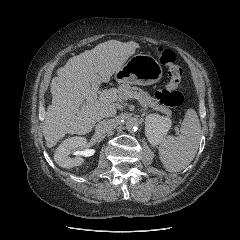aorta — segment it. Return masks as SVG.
Returning <instances> with one entry per match:
<instances>
[{
    "instance_id": "762f6f07",
    "label": "aorta",
    "mask_w": 240,
    "mask_h": 240,
    "mask_svg": "<svg viewBox=\"0 0 240 240\" xmlns=\"http://www.w3.org/2000/svg\"><path fill=\"white\" fill-rule=\"evenodd\" d=\"M126 129L130 132L136 131L139 126V122L135 117H128L125 121Z\"/></svg>"
}]
</instances>
